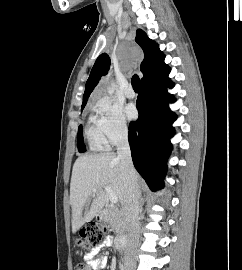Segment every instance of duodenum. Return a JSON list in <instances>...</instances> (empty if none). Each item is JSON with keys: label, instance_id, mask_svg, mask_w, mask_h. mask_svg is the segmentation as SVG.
I'll use <instances>...</instances> for the list:
<instances>
[{"label": "duodenum", "instance_id": "duodenum-1", "mask_svg": "<svg viewBox=\"0 0 242 270\" xmlns=\"http://www.w3.org/2000/svg\"><path fill=\"white\" fill-rule=\"evenodd\" d=\"M106 211L105 210H102V211H100L99 213H98V216L100 217V218H103L105 215H106ZM116 245H117V247L119 248V249H121V250H124L125 248H126V246H127V238H126V236H124V235H121L119 238H118V240H117V242H116Z\"/></svg>", "mask_w": 242, "mask_h": 270}]
</instances>
